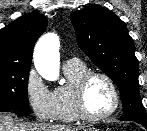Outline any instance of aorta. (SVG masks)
I'll return each instance as SVG.
<instances>
[{"instance_id":"762f6f07","label":"aorta","mask_w":147,"mask_h":131,"mask_svg":"<svg viewBox=\"0 0 147 131\" xmlns=\"http://www.w3.org/2000/svg\"><path fill=\"white\" fill-rule=\"evenodd\" d=\"M34 65L46 80H59V39L55 34H46L39 39L34 49ZM59 83L63 84L64 80H60Z\"/></svg>"}]
</instances>
